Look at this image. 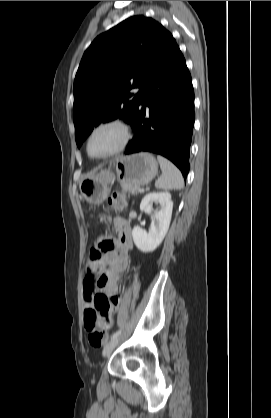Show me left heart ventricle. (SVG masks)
I'll list each match as a JSON object with an SVG mask.
<instances>
[{
    "instance_id": "left-heart-ventricle-1",
    "label": "left heart ventricle",
    "mask_w": 271,
    "mask_h": 418,
    "mask_svg": "<svg viewBox=\"0 0 271 418\" xmlns=\"http://www.w3.org/2000/svg\"><path fill=\"white\" fill-rule=\"evenodd\" d=\"M121 134L116 128L109 127L98 131L92 138L90 144L91 153L100 155L116 147L120 142Z\"/></svg>"
}]
</instances>
